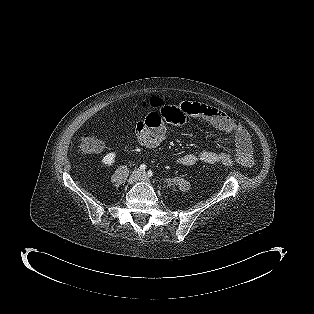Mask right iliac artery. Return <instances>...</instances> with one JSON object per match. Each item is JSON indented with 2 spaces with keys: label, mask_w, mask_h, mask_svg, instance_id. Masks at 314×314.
<instances>
[{
  "label": "right iliac artery",
  "mask_w": 314,
  "mask_h": 314,
  "mask_svg": "<svg viewBox=\"0 0 314 314\" xmlns=\"http://www.w3.org/2000/svg\"><path fill=\"white\" fill-rule=\"evenodd\" d=\"M140 169H141V170H145V169H146V165H145V164H141V165H140Z\"/></svg>",
  "instance_id": "82829eb1"
}]
</instances>
